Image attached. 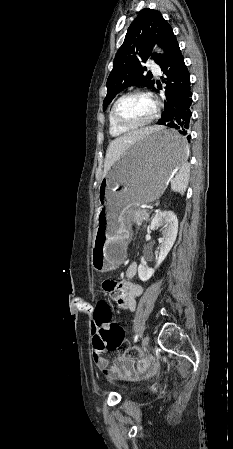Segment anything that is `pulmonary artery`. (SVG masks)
Masks as SVG:
<instances>
[{
	"label": "pulmonary artery",
	"mask_w": 233,
	"mask_h": 449,
	"mask_svg": "<svg viewBox=\"0 0 233 449\" xmlns=\"http://www.w3.org/2000/svg\"><path fill=\"white\" fill-rule=\"evenodd\" d=\"M151 69H152V71H153L154 73H156V74H159V73H160V68H159L157 65H155V64H153V65L151 66Z\"/></svg>",
	"instance_id": "1"
}]
</instances>
